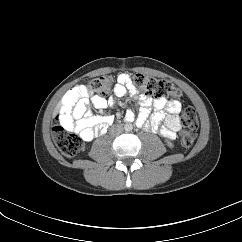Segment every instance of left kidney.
<instances>
[{"label":"left kidney","mask_w":242,"mask_h":242,"mask_svg":"<svg viewBox=\"0 0 242 242\" xmlns=\"http://www.w3.org/2000/svg\"><path fill=\"white\" fill-rule=\"evenodd\" d=\"M167 144H168V146H169L170 148H173V147H174L173 144H172L171 142H169V141H167Z\"/></svg>","instance_id":"obj_1"}]
</instances>
